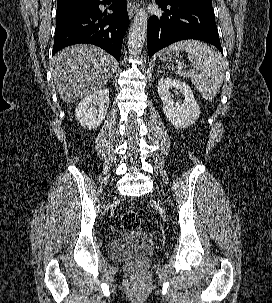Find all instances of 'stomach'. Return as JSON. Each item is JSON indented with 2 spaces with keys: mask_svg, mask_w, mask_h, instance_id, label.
Here are the masks:
<instances>
[{
  "mask_svg": "<svg viewBox=\"0 0 272 303\" xmlns=\"http://www.w3.org/2000/svg\"><path fill=\"white\" fill-rule=\"evenodd\" d=\"M178 56V52L163 50L160 52V59L163 61H170Z\"/></svg>",
  "mask_w": 272,
  "mask_h": 303,
  "instance_id": "obj_1",
  "label": "stomach"
}]
</instances>
